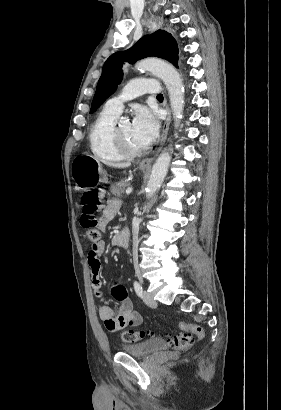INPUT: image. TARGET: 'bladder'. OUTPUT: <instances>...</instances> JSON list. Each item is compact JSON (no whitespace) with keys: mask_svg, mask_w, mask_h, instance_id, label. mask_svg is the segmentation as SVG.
I'll list each match as a JSON object with an SVG mask.
<instances>
[{"mask_svg":"<svg viewBox=\"0 0 281 410\" xmlns=\"http://www.w3.org/2000/svg\"><path fill=\"white\" fill-rule=\"evenodd\" d=\"M167 343L161 339H148L132 345H122L120 349L132 356L146 358L167 349Z\"/></svg>","mask_w":281,"mask_h":410,"instance_id":"bladder-1","label":"bladder"}]
</instances>
